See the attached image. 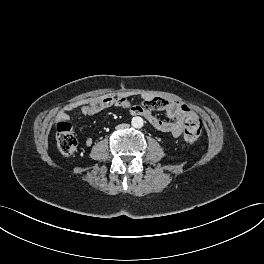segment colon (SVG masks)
I'll return each instance as SVG.
<instances>
[{
	"instance_id": "colon-1",
	"label": "colon",
	"mask_w": 264,
	"mask_h": 264,
	"mask_svg": "<svg viewBox=\"0 0 264 264\" xmlns=\"http://www.w3.org/2000/svg\"><path fill=\"white\" fill-rule=\"evenodd\" d=\"M202 132V122L195 117L188 118L184 125V138L193 143L198 140ZM56 141L59 151L66 156H71L77 149V140L72 124L62 120L56 127Z\"/></svg>"
}]
</instances>
